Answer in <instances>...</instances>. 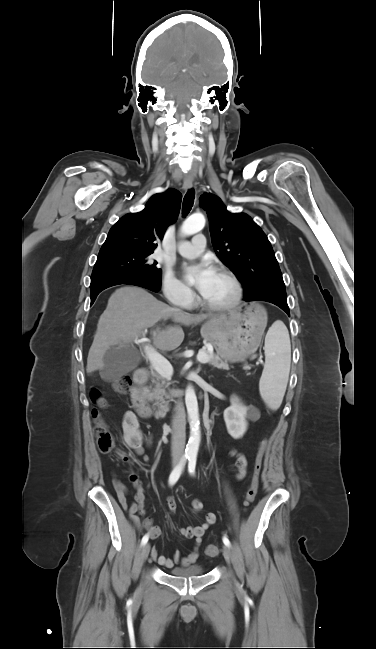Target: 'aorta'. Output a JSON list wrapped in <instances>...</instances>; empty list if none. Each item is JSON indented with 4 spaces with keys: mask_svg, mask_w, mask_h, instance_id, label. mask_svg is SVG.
Instances as JSON below:
<instances>
[{
    "mask_svg": "<svg viewBox=\"0 0 376 649\" xmlns=\"http://www.w3.org/2000/svg\"><path fill=\"white\" fill-rule=\"evenodd\" d=\"M205 226V217L196 213L187 218L181 226V233L184 236L192 235L201 231ZM185 403L190 420V438L186 447V453L196 455L200 444V421L198 402L192 386H188L185 393Z\"/></svg>",
    "mask_w": 376,
    "mask_h": 649,
    "instance_id": "aorta-1",
    "label": "aorta"
}]
</instances>
